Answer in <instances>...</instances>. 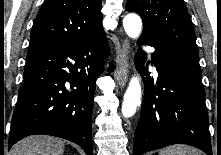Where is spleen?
Returning <instances> with one entry per match:
<instances>
[{"label":"spleen","instance_id":"3e777b00","mask_svg":"<svg viewBox=\"0 0 221 155\" xmlns=\"http://www.w3.org/2000/svg\"><path fill=\"white\" fill-rule=\"evenodd\" d=\"M159 155H201V152L191 146L177 144L162 149Z\"/></svg>","mask_w":221,"mask_h":155}]
</instances>
